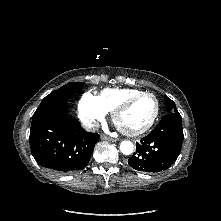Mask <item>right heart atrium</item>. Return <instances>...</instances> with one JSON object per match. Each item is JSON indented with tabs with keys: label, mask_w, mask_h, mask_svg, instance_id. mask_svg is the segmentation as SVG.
I'll list each match as a JSON object with an SVG mask.
<instances>
[{
	"label": "right heart atrium",
	"mask_w": 221,
	"mask_h": 221,
	"mask_svg": "<svg viewBox=\"0 0 221 221\" xmlns=\"http://www.w3.org/2000/svg\"><path fill=\"white\" fill-rule=\"evenodd\" d=\"M78 114L85 127L94 129L104 120L107 112L102 108L97 96L86 92L79 101Z\"/></svg>",
	"instance_id": "1"
}]
</instances>
